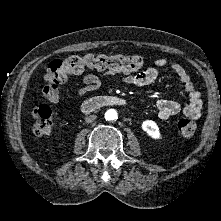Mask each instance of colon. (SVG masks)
<instances>
[{"label":"colon","instance_id":"obj_1","mask_svg":"<svg viewBox=\"0 0 221 221\" xmlns=\"http://www.w3.org/2000/svg\"><path fill=\"white\" fill-rule=\"evenodd\" d=\"M144 61L140 56H104L87 55L71 56L64 60H53L49 63L41 87L45 97L55 99L59 96L58 86L63 83L69 74H79L85 67L96 69H112L117 72L130 73L141 69ZM33 133L38 137L49 136L54 128L52 111L44 105H38L33 111ZM181 135L191 137L196 131V124L191 118H183L178 122Z\"/></svg>","mask_w":221,"mask_h":221}]
</instances>
